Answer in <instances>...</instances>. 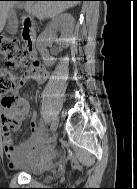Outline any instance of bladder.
Segmentation results:
<instances>
[{
    "label": "bladder",
    "mask_w": 137,
    "mask_h": 189,
    "mask_svg": "<svg viewBox=\"0 0 137 189\" xmlns=\"http://www.w3.org/2000/svg\"><path fill=\"white\" fill-rule=\"evenodd\" d=\"M29 173L32 174V175H41L43 173V170H41L39 168H34V169H31L29 171ZM47 180L50 181L49 178Z\"/></svg>",
    "instance_id": "obj_1"
}]
</instances>
